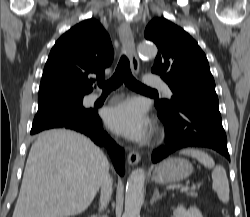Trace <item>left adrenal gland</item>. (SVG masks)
I'll use <instances>...</instances> for the list:
<instances>
[{
  "mask_svg": "<svg viewBox=\"0 0 250 217\" xmlns=\"http://www.w3.org/2000/svg\"><path fill=\"white\" fill-rule=\"evenodd\" d=\"M164 196V193L160 194L159 190L157 188H155L152 199L150 201L151 204H154V202H156L157 200H159L160 198H162Z\"/></svg>",
  "mask_w": 250,
  "mask_h": 217,
  "instance_id": "obj_1",
  "label": "left adrenal gland"
}]
</instances>
